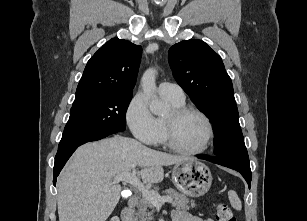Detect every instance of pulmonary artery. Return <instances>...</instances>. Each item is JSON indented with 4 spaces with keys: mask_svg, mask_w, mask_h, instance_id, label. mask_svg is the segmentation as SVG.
Returning <instances> with one entry per match:
<instances>
[{
    "mask_svg": "<svg viewBox=\"0 0 307 221\" xmlns=\"http://www.w3.org/2000/svg\"><path fill=\"white\" fill-rule=\"evenodd\" d=\"M158 91L163 97L173 101L183 102L185 100L184 91L177 84L162 82L159 84Z\"/></svg>",
    "mask_w": 307,
    "mask_h": 221,
    "instance_id": "e3ab8cb5",
    "label": "pulmonary artery"
}]
</instances>
